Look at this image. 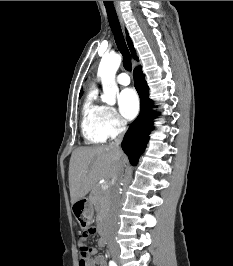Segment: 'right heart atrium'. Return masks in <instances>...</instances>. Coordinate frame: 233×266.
<instances>
[{
    "label": "right heart atrium",
    "mask_w": 233,
    "mask_h": 266,
    "mask_svg": "<svg viewBox=\"0 0 233 266\" xmlns=\"http://www.w3.org/2000/svg\"><path fill=\"white\" fill-rule=\"evenodd\" d=\"M101 130L106 138H115L126 130L125 121L111 106H104Z\"/></svg>",
    "instance_id": "d8ad5b80"
}]
</instances>
